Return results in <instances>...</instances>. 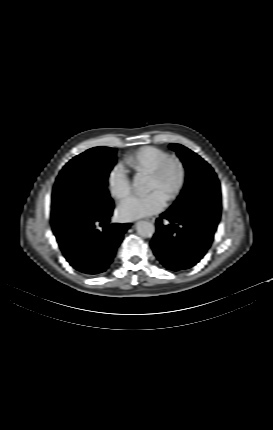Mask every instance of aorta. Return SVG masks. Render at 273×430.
Instances as JSON below:
<instances>
[{
    "label": "aorta",
    "mask_w": 273,
    "mask_h": 430,
    "mask_svg": "<svg viewBox=\"0 0 273 430\" xmlns=\"http://www.w3.org/2000/svg\"><path fill=\"white\" fill-rule=\"evenodd\" d=\"M133 188L136 192L142 194L149 191V181L145 177L136 176L133 180ZM136 230L142 237H152L155 232V227L147 221H139L136 224Z\"/></svg>",
    "instance_id": "1"
}]
</instances>
